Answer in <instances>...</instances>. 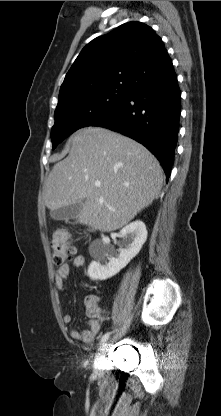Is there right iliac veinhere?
<instances>
[{
    "mask_svg": "<svg viewBox=\"0 0 221 416\" xmlns=\"http://www.w3.org/2000/svg\"><path fill=\"white\" fill-rule=\"evenodd\" d=\"M126 330V327H124L123 331ZM108 347V343H105L101 346L99 353L97 354V363H96V369L99 370L100 369V362L101 359L104 357L105 351L107 350Z\"/></svg>",
    "mask_w": 221,
    "mask_h": 416,
    "instance_id": "63e3f726",
    "label": "right iliac vein"
}]
</instances>
